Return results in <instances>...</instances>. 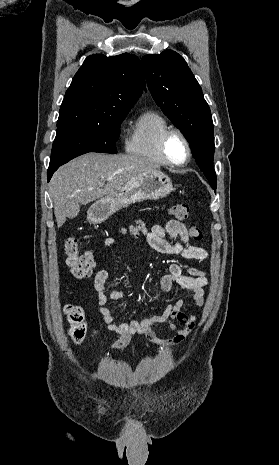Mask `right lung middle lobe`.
<instances>
[{
  "mask_svg": "<svg viewBox=\"0 0 279 465\" xmlns=\"http://www.w3.org/2000/svg\"><path fill=\"white\" fill-rule=\"evenodd\" d=\"M129 110H113L101 122L73 123L57 127L49 166H61L88 153H117L115 142Z\"/></svg>",
  "mask_w": 279,
  "mask_h": 465,
  "instance_id": "1",
  "label": "right lung middle lobe"
}]
</instances>
